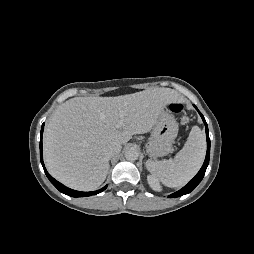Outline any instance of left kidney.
I'll return each mask as SVG.
<instances>
[{
  "instance_id": "5707ae66",
  "label": "left kidney",
  "mask_w": 254,
  "mask_h": 254,
  "mask_svg": "<svg viewBox=\"0 0 254 254\" xmlns=\"http://www.w3.org/2000/svg\"><path fill=\"white\" fill-rule=\"evenodd\" d=\"M147 181H148V184L150 185V187L154 190V191H161L162 190V187L158 181V179L153 176V175H148L147 176Z\"/></svg>"
}]
</instances>
